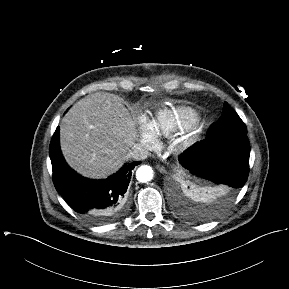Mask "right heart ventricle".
Here are the masks:
<instances>
[{"mask_svg":"<svg viewBox=\"0 0 289 289\" xmlns=\"http://www.w3.org/2000/svg\"><path fill=\"white\" fill-rule=\"evenodd\" d=\"M197 113L186 107L158 110L150 127L157 138H171L177 133L190 128L197 121Z\"/></svg>","mask_w":289,"mask_h":289,"instance_id":"e07e8e85","label":"right heart ventricle"}]
</instances>
